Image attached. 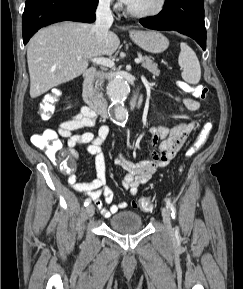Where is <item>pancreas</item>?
<instances>
[{"instance_id": "obj_1", "label": "pancreas", "mask_w": 243, "mask_h": 289, "mask_svg": "<svg viewBox=\"0 0 243 289\" xmlns=\"http://www.w3.org/2000/svg\"><path fill=\"white\" fill-rule=\"evenodd\" d=\"M142 61H143V63H142V67L143 68L147 69L149 72H151L152 74H154L156 76H158L160 74V71H159V69L157 67V64L152 59H150V57L144 56V57H142ZM101 84H102V81H97L96 82V84H95V92L97 90H99V87L101 86ZM97 97L99 99H101L102 98V93H97Z\"/></svg>"}]
</instances>
